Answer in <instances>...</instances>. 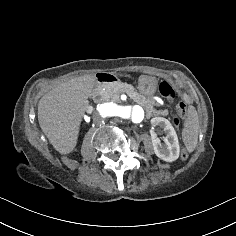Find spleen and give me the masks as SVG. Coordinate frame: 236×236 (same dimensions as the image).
Here are the masks:
<instances>
[{
    "mask_svg": "<svg viewBox=\"0 0 236 236\" xmlns=\"http://www.w3.org/2000/svg\"><path fill=\"white\" fill-rule=\"evenodd\" d=\"M199 120L197 111L193 106L188 108V117L184 122L182 138L188 152H192L198 142Z\"/></svg>",
    "mask_w": 236,
    "mask_h": 236,
    "instance_id": "3e777b00",
    "label": "spleen"
}]
</instances>
